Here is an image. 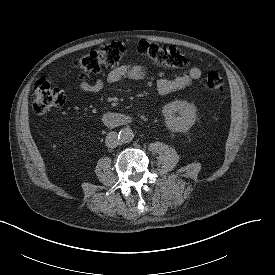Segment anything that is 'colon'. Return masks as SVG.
Instances as JSON below:
<instances>
[{
  "mask_svg": "<svg viewBox=\"0 0 275 275\" xmlns=\"http://www.w3.org/2000/svg\"><path fill=\"white\" fill-rule=\"evenodd\" d=\"M136 50L139 54L170 68L182 69L189 64L181 51L173 47H163L142 41L137 45ZM124 56V46L114 42L82 55L74 61V66L81 69L83 74H99L105 69L118 66ZM205 85L210 91L218 92L224 89L225 81L219 72L212 70L206 75ZM33 91L32 109L38 115L47 114L52 108L63 105L66 100L62 89L44 80L36 81Z\"/></svg>",
  "mask_w": 275,
  "mask_h": 275,
  "instance_id": "obj_1",
  "label": "colon"
}]
</instances>
